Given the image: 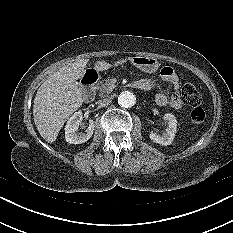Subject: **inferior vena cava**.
<instances>
[{"instance_id":"602c4592","label":"inferior vena cava","mask_w":233,"mask_h":233,"mask_svg":"<svg viewBox=\"0 0 233 233\" xmlns=\"http://www.w3.org/2000/svg\"><path fill=\"white\" fill-rule=\"evenodd\" d=\"M111 102H112V97H105L99 100L98 104H100L101 106H106V105H109Z\"/></svg>"}]
</instances>
